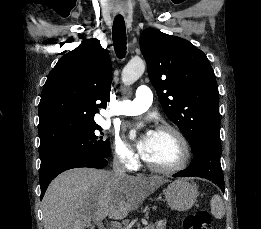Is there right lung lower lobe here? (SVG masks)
<instances>
[{
  "label": "right lung lower lobe",
  "mask_w": 261,
  "mask_h": 229,
  "mask_svg": "<svg viewBox=\"0 0 261 229\" xmlns=\"http://www.w3.org/2000/svg\"><path fill=\"white\" fill-rule=\"evenodd\" d=\"M107 164L106 158L92 157L50 162L41 166L39 173L41 187L40 199L43 198L49 183L63 171L79 167L104 168Z\"/></svg>",
  "instance_id": "obj_1"
}]
</instances>
